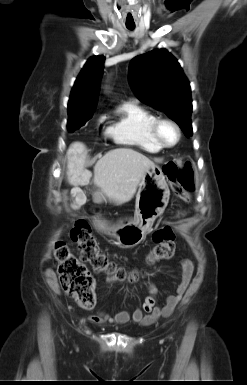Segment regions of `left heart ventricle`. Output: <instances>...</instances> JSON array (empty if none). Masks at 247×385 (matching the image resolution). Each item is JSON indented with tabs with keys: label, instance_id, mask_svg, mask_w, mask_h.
Masks as SVG:
<instances>
[{
	"label": "left heart ventricle",
	"instance_id": "left-heart-ventricle-1",
	"mask_svg": "<svg viewBox=\"0 0 247 385\" xmlns=\"http://www.w3.org/2000/svg\"><path fill=\"white\" fill-rule=\"evenodd\" d=\"M162 140L167 144H172L177 138L176 131L170 125H163L160 130Z\"/></svg>",
	"mask_w": 247,
	"mask_h": 385
}]
</instances>
